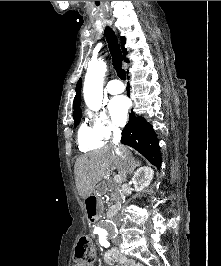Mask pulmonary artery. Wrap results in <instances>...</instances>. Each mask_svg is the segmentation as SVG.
I'll list each match as a JSON object with an SVG mask.
<instances>
[{"mask_svg":"<svg viewBox=\"0 0 221 266\" xmlns=\"http://www.w3.org/2000/svg\"><path fill=\"white\" fill-rule=\"evenodd\" d=\"M106 89L110 94L115 95V94L122 93L125 87L123 83L119 81L118 79H112L107 83Z\"/></svg>","mask_w":221,"mask_h":266,"instance_id":"pulmonary-artery-1","label":"pulmonary artery"}]
</instances>
